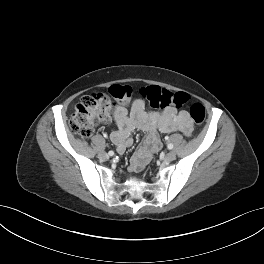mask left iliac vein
<instances>
[{
  "label": "left iliac vein",
  "instance_id": "1",
  "mask_svg": "<svg viewBox=\"0 0 264 264\" xmlns=\"http://www.w3.org/2000/svg\"><path fill=\"white\" fill-rule=\"evenodd\" d=\"M176 158V153L174 151H170L165 155V161L171 162Z\"/></svg>",
  "mask_w": 264,
  "mask_h": 264
}]
</instances>
